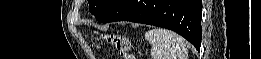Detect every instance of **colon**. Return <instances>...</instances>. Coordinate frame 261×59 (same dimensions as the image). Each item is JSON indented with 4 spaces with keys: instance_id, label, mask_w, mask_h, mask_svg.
Listing matches in <instances>:
<instances>
[{
    "instance_id": "colon-1",
    "label": "colon",
    "mask_w": 261,
    "mask_h": 59,
    "mask_svg": "<svg viewBox=\"0 0 261 59\" xmlns=\"http://www.w3.org/2000/svg\"><path fill=\"white\" fill-rule=\"evenodd\" d=\"M107 40L110 44H112L115 49L121 54L124 55L123 58H130L129 56L125 55V52L129 48L127 40L122 36L116 35H109Z\"/></svg>"
}]
</instances>
